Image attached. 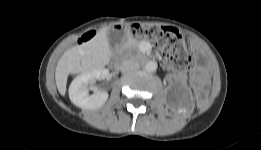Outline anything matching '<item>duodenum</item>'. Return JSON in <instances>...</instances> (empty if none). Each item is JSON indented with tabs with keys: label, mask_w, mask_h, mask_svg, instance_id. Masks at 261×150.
<instances>
[{
	"label": "duodenum",
	"mask_w": 261,
	"mask_h": 150,
	"mask_svg": "<svg viewBox=\"0 0 261 150\" xmlns=\"http://www.w3.org/2000/svg\"><path fill=\"white\" fill-rule=\"evenodd\" d=\"M119 29H121V27H119ZM119 64H120V56L117 55V56H115V57L112 59V61H111V66H112L113 68H118V67H119Z\"/></svg>",
	"instance_id": "duodenum-1"
}]
</instances>
